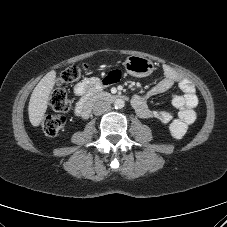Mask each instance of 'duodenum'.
Instances as JSON below:
<instances>
[{"label": "duodenum", "instance_id": "410a0bca", "mask_svg": "<svg viewBox=\"0 0 227 227\" xmlns=\"http://www.w3.org/2000/svg\"><path fill=\"white\" fill-rule=\"evenodd\" d=\"M118 98L117 95L107 92H95L88 95L82 103L80 108V115L83 118H88L93 106L98 102H113Z\"/></svg>", "mask_w": 227, "mask_h": 227}]
</instances>
